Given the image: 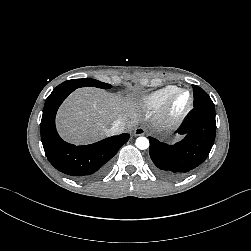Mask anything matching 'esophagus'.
Masks as SVG:
<instances>
[{
  "instance_id": "esophagus-1",
  "label": "esophagus",
  "mask_w": 251,
  "mask_h": 251,
  "mask_svg": "<svg viewBox=\"0 0 251 251\" xmlns=\"http://www.w3.org/2000/svg\"><path fill=\"white\" fill-rule=\"evenodd\" d=\"M145 134V129L143 127H136L134 129V135L135 136H141Z\"/></svg>"
}]
</instances>
